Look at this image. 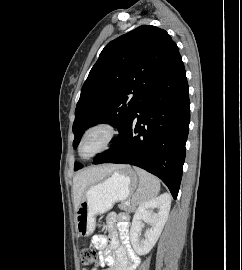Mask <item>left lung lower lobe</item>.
<instances>
[{
  "mask_svg": "<svg viewBox=\"0 0 242 270\" xmlns=\"http://www.w3.org/2000/svg\"><path fill=\"white\" fill-rule=\"evenodd\" d=\"M190 122L188 83L181 56L157 77L130 121L93 164L123 163L159 177L177 198Z\"/></svg>",
  "mask_w": 242,
  "mask_h": 270,
  "instance_id": "1",
  "label": "left lung lower lobe"
}]
</instances>
